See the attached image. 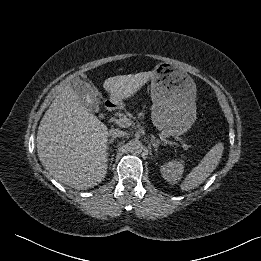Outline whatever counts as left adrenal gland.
I'll return each instance as SVG.
<instances>
[{
	"label": "left adrenal gland",
	"mask_w": 261,
	"mask_h": 261,
	"mask_svg": "<svg viewBox=\"0 0 261 261\" xmlns=\"http://www.w3.org/2000/svg\"><path fill=\"white\" fill-rule=\"evenodd\" d=\"M160 144H161V143H160V141H158V140L152 142V145H153V147H154V149H155V152L158 151V148H159V145H160ZM161 145H163V144H161Z\"/></svg>",
	"instance_id": "left-adrenal-gland-1"
}]
</instances>
